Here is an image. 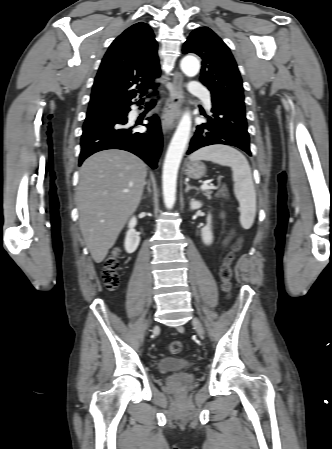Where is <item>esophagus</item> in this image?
I'll use <instances>...</instances> for the list:
<instances>
[{
    "mask_svg": "<svg viewBox=\"0 0 332 449\" xmlns=\"http://www.w3.org/2000/svg\"><path fill=\"white\" fill-rule=\"evenodd\" d=\"M183 100V76L181 73L175 72L173 75L170 98L161 117V125L164 133L172 129L177 123L178 114L183 105Z\"/></svg>",
    "mask_w": 332,
    "mask_h": 449,
    "instance_id": "obj_1",
    "label": "esophagus"
}]
</instances>
